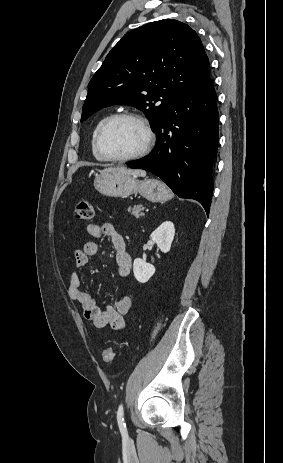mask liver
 Here are the masks:
<instances>
[{"mask_svg":"<svg viewBox=\"0 0 283 463\" xmlns=\"http://www.w3.org/2000/svg\"><path fill=\"white\" fill-rule=\"evenodd\" d=\"M101 172H116V173H122V174H129V175H133L136 177L146 176V172L144 170L127 169L125 167H110V168L101 170Z\"/></svg>","mask_w":283,"mask_h":463,"instance_id":"1","label":"liver"}]
</instances>
